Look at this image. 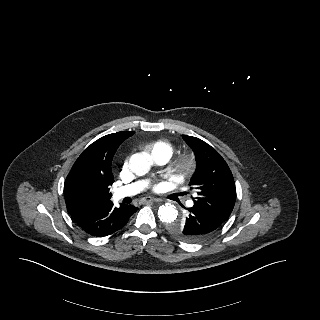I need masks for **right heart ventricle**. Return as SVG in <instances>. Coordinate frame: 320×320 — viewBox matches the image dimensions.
<instances>
[{
    "label": "right heart ventricle",
    "mask_w": 320,
    "mask_h": 320,
    "mask_svg": "<svg viewBox=\"0 0 320 320\" xmlns=\"http://www.w3.org/2000/svg\"><path fill=\"white\" fill-rule=\"evenodd\" d=\"M145 150L151 157L158 155H166L170 157L173 152V145L167 140L159 139L146 144Z\"/></svg>",
    "instance_id": "obj_1"
}]
</instances>
